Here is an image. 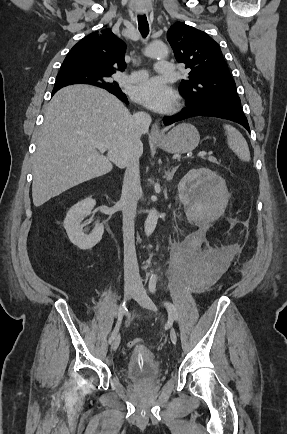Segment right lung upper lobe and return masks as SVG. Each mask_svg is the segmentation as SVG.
Returning a JSON list of instances; mask_svg holds the SVG:
<instances>
[{
    "label": "right lung upper lobe",
    "instance_id": "obj_1",
    "mask_svg": "<svg viewBox=\"0 0 287 434\" xmlns=\"http://www.w3.org/2000/svg\"><path fill=\"white\" fill-rule=\"evenodd\" d=\"M125 43L110 29L96 31L80 40L68 53L61 69H82L112 75L124 70ZM71 83L55 84L53 91Z\"/></svg>",
    "mask_w": 287,
    "mask_h": 434
}]
</instances>
